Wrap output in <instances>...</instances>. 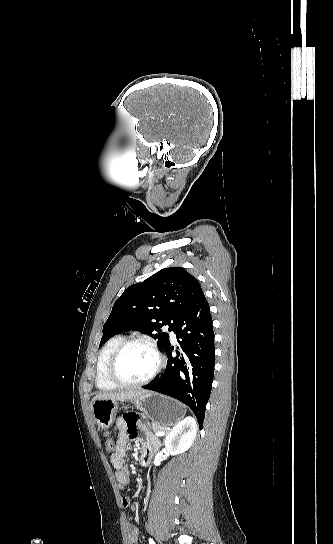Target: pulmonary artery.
<instances>
[{"label": "pulmonary artery", "mask_w": 333, "mask_h": 544, "mask_svg": "<svg viewBox=\"0 0 333 544\" xmlns=\"http://www.w3.org/2000/svg\"><path fill=\"white\" fill-rule=\"evenodd\" d=\"M170 337L173 341L176 340V336H175V333L173 331L170 332Z\"/></svg>", "instance_id": "1"}]
</instances>
